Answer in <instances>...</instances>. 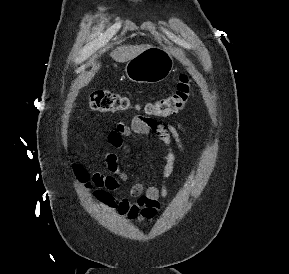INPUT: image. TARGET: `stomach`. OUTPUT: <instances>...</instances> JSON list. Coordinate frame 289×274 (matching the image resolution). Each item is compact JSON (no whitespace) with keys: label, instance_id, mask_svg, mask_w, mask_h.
I'll use <instances>...</instances> for the list:
<instances>
[{"label":"stomach","instance_id":"stomach-1","mask_svg":"<svg viewBox=\"0 0 289 274\" xmlns=\"http://www.w3.org/2000/svg\"><path fill=\"white\" fill-rule=\"evenodd\" d=\"M174 67V59L164 46H150L125 66V74L136 83H158L168 77Z\"/></svg>","mask_w":289,"mask_h":274}]
</instances>
